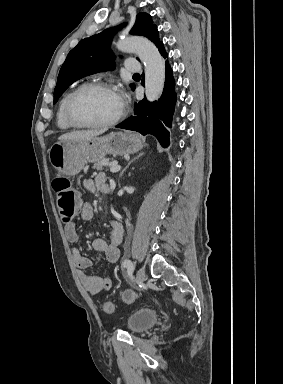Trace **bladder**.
<instances>
[{"instance_id":"31cf9c89","label":"bladder","mask_w":283,"mask_h":384,"mask_svg":"<svg viewBox=\"0 0 283 384\" xmlns=\"http://www.w3.org/2000/svg\"><path fill=\"white\" fill-rule=\"evenodd\" d=\"M158 321V315L154 309L137 308L126 319V327L129 333L140 335L153 327Z\"/></svg>"}]
</instances>
